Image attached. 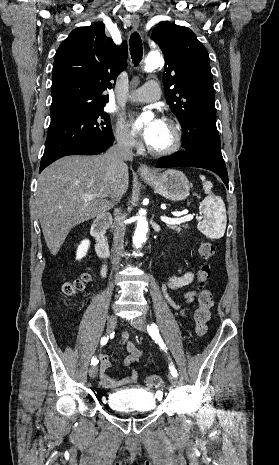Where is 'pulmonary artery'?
Returning a JSON list of instances; mask_svg holds the SVG:
<instances>
[{
    "label": "pulmonary artery",
    "instance_id": "1",
    "mask_svg": "<svg viewBox=\"0 0 279 465\" xmlns=\"http://www.w3.org/2000/svg\"><path fill=\"white\" fill-rule=\"evenodd\" d=\"M132 101L150 103L160 98V89L156 81L150 80L134 91L130 97Z\"/></svg>",
    "mask_w": 279,
    "mask_h": 465
}]
</instances>
